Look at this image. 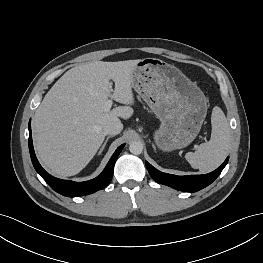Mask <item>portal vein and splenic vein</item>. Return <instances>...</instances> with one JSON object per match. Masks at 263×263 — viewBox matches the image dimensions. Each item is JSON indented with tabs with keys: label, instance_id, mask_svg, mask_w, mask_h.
Masks as SVG:
<instances>
[{
	"label": "portal vein and splenic vein",
	"instance_id": "obj_1",
	"mask_svg": "<svg viewBox=\"0 0 263 263\" xmlns=\"http://www.w3.org/2000/svg\"><path fill=\"white\" fill-rule=\"evenodd\" d=\"M112 104H113V101L111 99H108L103 105L104 111L106 112L110 111Z\"/></svg>",
	"mask_w": 263,
	"mask_h": 263
}]
</instances>
